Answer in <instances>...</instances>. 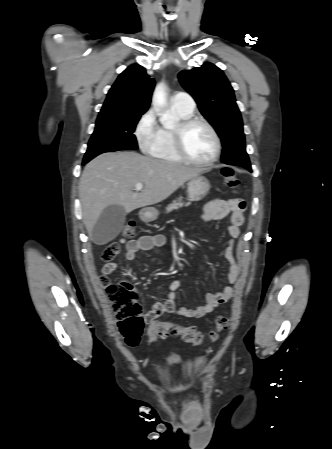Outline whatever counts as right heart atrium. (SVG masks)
I'll return each instance as SVG.
<instances>
[{
	"mask_svg": "<svg viewBox=\"0 0 332 449\" xmlns=\"http://www.w3.org/2000/svg\"><path fill=\"white\" fill-rule=\"evenodd\" d=\"M159 133V126L153 110H148L139 119L135 128V135L139 147L144 152H149L154 145Z\"/></svg>",
	"mask_w": 332,
	"mask_h": 449,
	"instance_id": "obj_1",
	"label": "right heart atrium"
}]
</instances>
